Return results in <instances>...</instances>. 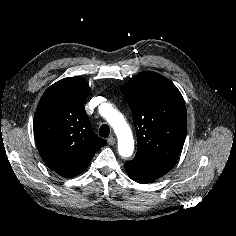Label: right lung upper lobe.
<instances>
[{
  "label": "right lung upper lobe",
  "mask_w": 236,
  "mask_h": 236,
  "mask_svg": "<svg viewBox=\"0 0 236 236\" xmlns=\"http://www.w3.org/2000/svg\"><path fill=\"white\" fill-rule=\"evenodd\" d=\"M89 86L79 77L51 85L41 97L33 121L44 163L63 177H75L107 142L91 129L84 102Z\"/></svg>",
  "instance_id": "obj_1"
}]
</instances>
